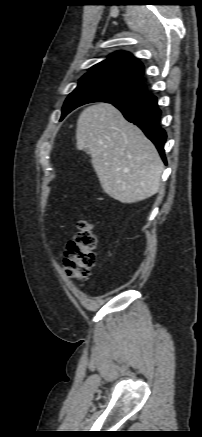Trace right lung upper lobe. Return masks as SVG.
<instances>
[{"label":"right lung upper lobe","mask_w":202,"mask_h":437,"mask_svg":"<svg viewBox=\"0 0 202 437\" xmlns=\"http://www.w3.org/2000/svg\"><path fill=\"white\" fill-rule=\"evenodd\" d=\"M93 71L118 73L142 82L144 66L132 54L125 51H117L89 69V72Z\"/></svg>","instance_id":"1"}]
</instances>
